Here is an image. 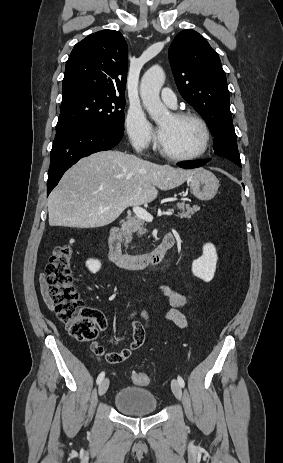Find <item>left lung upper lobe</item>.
<instances>
[{
  "mask_svg": "<svg viewBox=\"0 0 283 463\" xmlns=\"http://www.w3.org/2000/svg\"><path fill=\"white\" fill-rule=\"evenodd\" d=\"M168 55L180 94L208 123L215 154L241 167L227 80L219 55L204 37L190 29L177 34Z\"/></svg>",
  "mask_w": 283,
  "mask_h": 463,
  "instance_id": "5c2ea615",
  "label": "left lung upper lobe"
}]
</instances>
